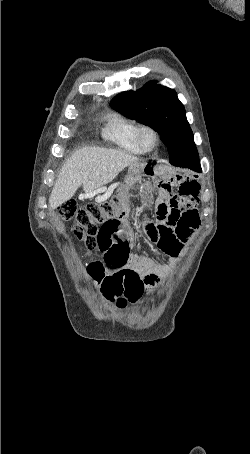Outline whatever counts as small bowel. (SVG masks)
Instances as JSON below:
<instances>
[{"instance_id":"small-bowel-1","label":"small bowel","mask_w":250,"mask_h":454,"mask_svg":"<svg viewBox=\"0 0 250 454\" xmlns=\"http://www.w3.org/2000/svg\"><path fill=\"white\" fill-rule=\"evenodd\" d=\"M199 180L195 177H155L129 173L118 188L148 206L155 203V221L145 224L148 238L168 255L170 265L131 253L133 230L125 217L104 224L97 235L101 260L87 266V275L102 295L120 306L151 293L171 274L184 245L200 224Z\"/></svg>"}]
</instances>
